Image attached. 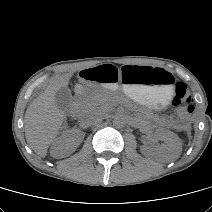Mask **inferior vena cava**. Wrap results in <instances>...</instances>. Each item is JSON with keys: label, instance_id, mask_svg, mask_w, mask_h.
Masks as SVG:
<instances>
[{"label": "inferior vena cava", "instance_id": "inferior-vena-cava-1", "mask_svg": "<svg viewBox=\"0 0 212 212\" xmlns=\"http://www.w3.org/2000/svg\"><path fill=\"white\" fill-rule=\"evenodd\" d=\"M103 117L97 114L96 112H88L84 118L83 123L86 126L96 125L102 121Z\"/></svg>", "mask_w": 212, "mask_h": 212}]
</instances>
